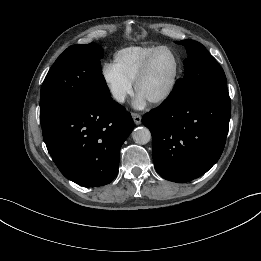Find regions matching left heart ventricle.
Masks as SVG:
<instances>
[{"mask_svg":"<svg viewBox=\"0 0 261 261\" xmlns=\"http://www.w3.org/2000/svg\"><path fill=\"white\" fill-rule=\"evenodd\" d=\"M174 71L173 55L160 51L153 59L146 78L141 83L138 94L146 100L162 93L170 83Z\"/></svg>","mask_w":261,"mask_h":261,"instance_id":"1","label":"left heart ventricle"}]
</instances>
